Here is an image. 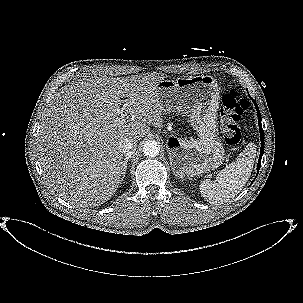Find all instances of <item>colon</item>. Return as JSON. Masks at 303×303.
I'll return each mask as SVG.
<instances>
[{
	"label": "colon",
	"mask_w": 303,
	"mask_h": 303,
	"mask_svg": "<svg viewBox=\"0 0 303 303\" xmlns=\"http://www.w3.org/2000/svg\"><path fill=\"white\" fill-rule=\"evenodd\" d=\"M248 108V101L237 92L229 91L223 95L220 109L221 132L228 144L235 145L240 141V119Z\"/></svg>",
	"instance_id": "1"
}]
</instances>
